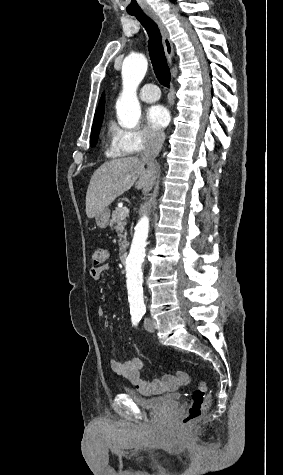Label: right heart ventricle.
Here are the masks:
<instances>
[{"label": "right heart ventricle", "mask_w": 283, "mask_h": 475, "mask_svg": "<svg viewBox=\"0 0 283 475\" xmlns=\"http://www.w3.org/2000/svg\"><path fill=\"white\" fill-rule=\"evenodd\" d=\"M114 131H115V128H114V126H113L111 123H108V124L104 127V133L106 134V136H107L109 139H112L113 134H114Z\"/></svg>", "instance_id": "e07e8e85"}]
</instances>
